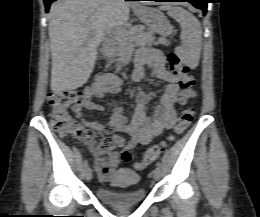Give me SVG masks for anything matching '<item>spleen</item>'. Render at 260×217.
<instances>
[{
  "mask_svg": "<svg viewBox=\"0 0 260 217\" xmlns=\"http://www.w3.org/2000/svg\"><path fill=\"white\" fill-rule=\"evenodd\" d=\"M168 15L181 26L182 45L178 48L184 59H196L200 55L202 29L198 19L189 11L181 7L165 6Z\"/></svg>",
  "mask_w": 260,
  "mask_h": 217,
  "instance_id": "1",
  "label": "spleen"
}]
</instances>
